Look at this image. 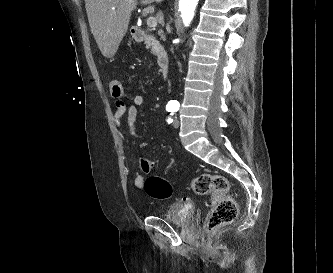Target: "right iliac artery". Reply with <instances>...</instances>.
Segmentation results:
<instances>
[{
    "instance_id": "obj_1",
    "label": "right iliac artery",
    "mask_w": 333,
    "mask_h": 273,
    "mask_svg": "<svg viewBox=\"0 0 333 273\" xmlns=\"http://www.w3.org/2000/svg\"><path fill=\"white\" fill-rule=\"evenodd\" d=\"M172 110H173L172 107H170V106H166V111L171 112Z\"/></svg>"
}]
</instances>
